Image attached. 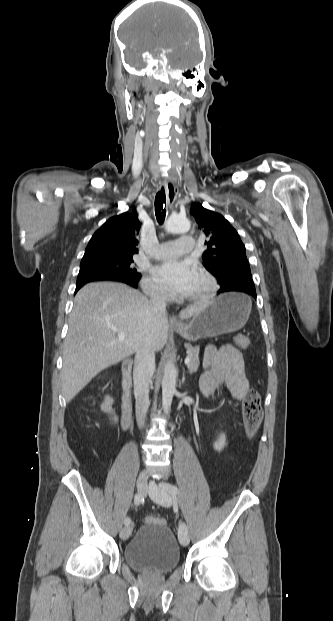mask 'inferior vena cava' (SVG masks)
<instances>
[{
    "label": "inferior vena cava",
    "mask_w": 333,
    "mask_h": 621,
    "mask_svg": "<svg viewBox=\"0 0 333 621\" xmlns=\"http://www.w3.org/2000/svg\"><path fill=\"white\" fill-rule=\"evenodd\" d=\"M150 303L156 311L160 313L166 312V298L164 296H152ZM154 370L155 351L150 344L145 343L136 352L133 369L136 421L139 428H142L145 424L146 414L150 405L149 384Z\"/></svg>",
    "instance_id": "obj_1"
}]
</instances>
